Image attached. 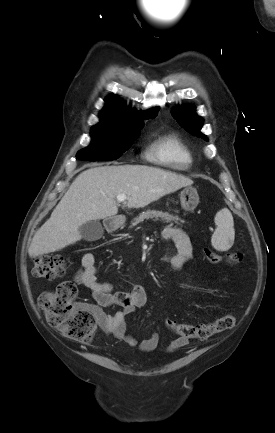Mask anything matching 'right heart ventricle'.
Wrapping results in <instances>:
<instances>
[{
    "instance_id": "obj_1",
    "label": "right heart ventricle",
    "mask_w": 275,
    "mask_h": 433,
    "mask_svg": "<svg viewBox=\"0 0 275 433\" xmlns=\"http://www.w3.org/2000/svg\"><path fill=\"white\" fill-rule=\"evenodd\" d=\"M148 155L151 160L178 170L188 169L192 163L189 149L174 134H169L158 139L151 146Z\"/></svg>"
}]
</instances>
